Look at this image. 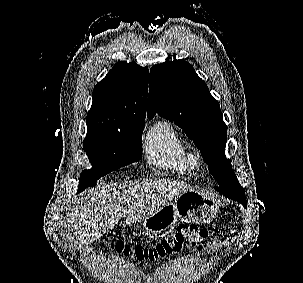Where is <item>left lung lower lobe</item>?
Returning <instances> with one entry per match:
<instances>
[{
    "instance_id": "1",
    "label": "left lung lower lobe",
    "mask_w": 303,
    "mask_h": 283,
    "mask_svg": "<svg viewBox=\"0 0 303 283\" xmlns=\"http://www.w3.org/2000/svg\"><path fill=\"white\" fill-rule=\"evenodd\" d=\"M232 200L238 201L240 202L244 207L247 206V201H246V197L240 193H236V192H223L220 193Z\"/></svg>"
}]
</instances>
